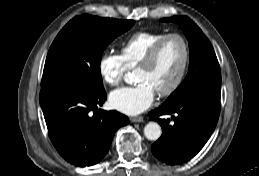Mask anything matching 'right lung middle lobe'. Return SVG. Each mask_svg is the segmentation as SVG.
Listing matches in <instances>:
<instances>
[{"label":"right lung middle lobe","instance_id":"1","mask_svg":"<svg viewBox=\"0 0 259 176\" xmlns=\"http://www.w3.org/2000/svg\"><path fill=\"white\" fill-rule=\"evenodd\" d=\"M133 20L91 15L70 20L52 43L44 66L41 88L103 89L100 62L103 51Z\"/></svg>","mask_w":259,"mask_h":176}]
</instances>
